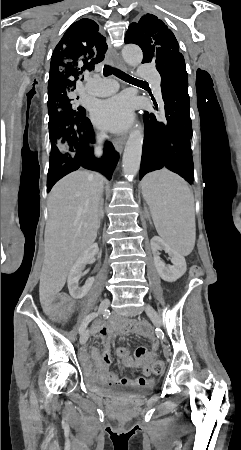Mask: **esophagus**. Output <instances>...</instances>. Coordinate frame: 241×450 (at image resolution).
Masks as SVG:
<instances>
[{
    "instance_id": "esophagus-1",
    "label": "esophagus",
    "mask_w": 241,
    "mask_h": 450,
    "mask_svg": "<svg viewBox=\"0 0 241 450\" xmlns=\"http://www.w3.org/2000/svg\"><path fill=\"white\" fill-rule=\"evenodd\" d=\"M110 59L111 61L114 63V65H116L117 67L121 68V69H125V65L123 63H121L119 61V59L116 58L114 52L112 51L111 55H110ZM125 145V139L123 138H116L114 139V146L116 148V150L121 153L123 151Z\"/></svg>"
}]
</instances>
